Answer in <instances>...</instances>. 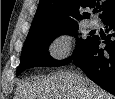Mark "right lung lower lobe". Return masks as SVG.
<instances>
[{
	"label": "right lung lower lobe",
	"mask_w": 115,
	"mask_h": 99,
	"mask_svg": "<svg viewBox=\"0 0 115 99\" xmlns=\"http://www.w3.org/2000/svg\"><path fill=\"white\" fill-rule=\"evenodd\" d=\"M106 32L110 34L99 48L101 39L92 36L83 51L74 59V64L83 69L89 79L115 95V10L102 17Z\"/></svg>",
	"instance_id": "obj_1"
}]
</instances>
